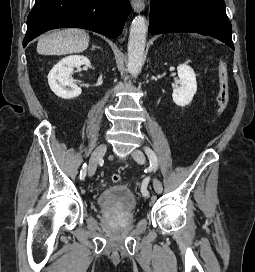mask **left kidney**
<instances>
[{
  "instance_id": "5707ae66",
  "label": "left kidney",
  "mask_w": 255,
  "mask_h": 272,
  "mask_svg": "<svg viewBox=\"0 0 255 272\" xmlns=\"http://www.w3.org/2000/svg\"><path fill=\"white\" fill-rule=\"evenodd\" d=\"M179 86L173 90L172 98L176 105L184 107L189 105L197 91L196 75L194 70L182 64L177 67Z\"/></svg>"
}]
</instances>
